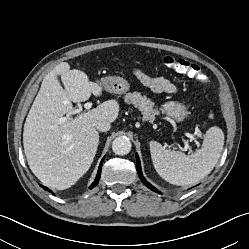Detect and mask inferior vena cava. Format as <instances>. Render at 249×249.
Returning a JSON list of instances; mask_svg holds the SVG:
<instances>
[{
	"label": "inferior vena cava",
	"mask_w": 249,
	"mask_h": 249,
	"mask_svg": "<svg viewBox=\"0 0 249 249\" xmlns=\"http://www.w3.org/2000/svg\"><path fill=\"white\" fill-rule=\"evenodd\" d=\"M96 128L100 132H106L111 128V124L107 120H100L97 122Z\"/></svg>",
	"instance_id": "inferior-vena-cava-1"
}]
</instances>
